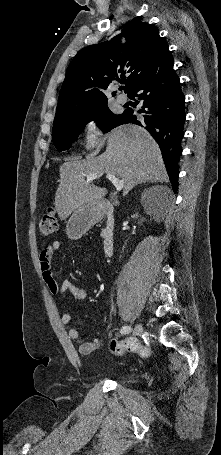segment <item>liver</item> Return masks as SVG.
Segmentation results:
<instances>
[{
    "instance_id": "obj_1",
    "label": "liver",
    "mask_w": 221,
    "mask_h": 455,
    "mask_svg": "<svg viewBox=\"0 0 221 455\" xmlns=\"http://www.w3.org/2000/svg\"><path fill=\"white\" fill-rule=\"evenodd\" d=\"M107 139L106 150L100 156L61 165L55 195V208L61 220L82 205L100 200L107 194L106 188L85 180L89 174H112L121 178L124 195L137 184L167 180L160 149L145 129L132 124L119 126L107 135Z\"/></svg>"
}]
</instances>
